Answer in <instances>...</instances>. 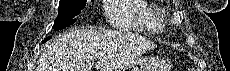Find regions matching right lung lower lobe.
Returning a JSON list of instances; mask_svg holds the SVG:
<instances>
[{
  "mask_svg": "<svg viewBox=\"0 0 230 71\" xmlns=\"http://www.w3.org/2000/svg\"><path fill=\"white\" fill-rule=\"evenodd\" d=\"M50 37H47L43 42H46Z\"/></svg>",
  "mask_w": 230,
  "mask_h": 71,
  "instance_id": "right-lung-lower-lobe-1",
  "label": "right lung lower lobe"
}]
</instances>
